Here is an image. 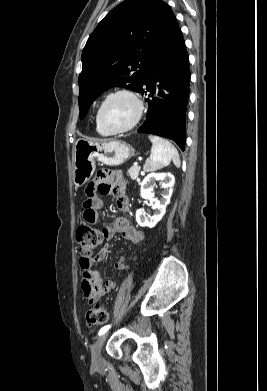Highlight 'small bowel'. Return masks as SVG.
I'll return each instance as SVG.
<instances>
[{
	"instance_id": "1",
	"label": "small bowel",
	"mask_w": 267,
	"mask_h": 391,
	"mask_svg": "<svg viewBox=\"0 0 267 391\" xmlns=\"http://www.w3.org/2000/svg\"><path fill=\"white\" fill-rule=\"evenodd\" d=\"M126 181L122 174L113 170H101L87 186L86 200L83 203V220L87 225L98 223L99 212L103 207L100 196L112 194L116 198L117 208L121 213L130 210V202L125 192ZM121 234L129 243L136 245L143 241L144 233L132 226L126 217L119 216L102 229V235L106 240H110L115 234ZM109 247L105 245L98 253L87 261L80 259L82 269L81 288L88 303H94L102 296L110 293L116 287V283L111 280H104L99 271L93 266L102 262L108 255ZM114 268L119 271L127 270L125 258L121 257L114 263Z\"/></svg>"
}]
</instances>
